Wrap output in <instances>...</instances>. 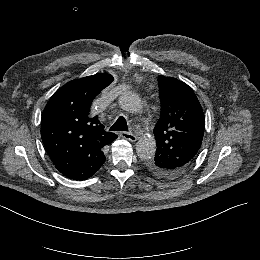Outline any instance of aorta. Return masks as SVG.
<instances>
[{
  "label": "aorta",
  "instance_id": "aorta-1",
  "mask_svg": "<svg viewBox=\"0 0 260 260\" xmlns=\"http://www.w3.org/2000/svg\"><path fill=\"white\" fill-rule=\"evenodd\" d=\"M120 107L130 113H139L142 109V101L139 96L131 91L124 92L119 97ZM156 152V141L154 137L144 136L136 144V153L139 158L147 160L154 157Z\"/></svg>",
  "mask_w": 260,
  "mask_h": 260
}]
</instances>
